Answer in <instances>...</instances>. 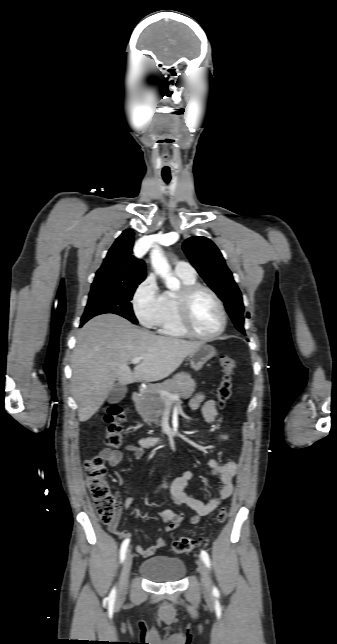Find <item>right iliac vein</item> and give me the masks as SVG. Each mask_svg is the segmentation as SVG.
I'll list each match as a JSON object with an SVG mask.
<instances>
[{"instance_id":"1","label":"right iliac vein","mask_w":337,"mask_h":644,"mask_svg":"<svg viewBox=\"0 0 337 644\" xmlns=\"http://www.w3.org/2000/svg\"><path fill=\"white\" fill-rule=\"evenodd\" d=\"M132 566V555L130 552L127 553L123 567H122V572L120 576V583L118 587V598H123L126 595L127 592V587H128V579H129V574Z\"/></svg>"}]
</instances>
